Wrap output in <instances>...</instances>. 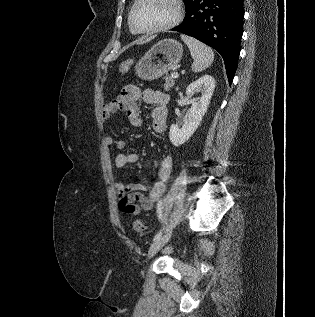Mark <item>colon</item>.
Listing matches in <instances>:
<instances>
[{
    "label": "colon",
    "mask_w": 315,
    "mask_h": 317,
    "mask_svg": "<svg viewBox=\"0 0 315 317\" xmlns=\"http://www.w3.org/2000/svg\"><path fill=\"white\" fill-rule=\"evenodd\" d=\"M133 61L132 60H124L121 62L119 66V72L120 74L124 75L129 72ZM133 228L136 232L142 233L145 230V225L141 220H136L133 224Z\"/></svg>",
    "instance_id": "1"
}]
</instances>
